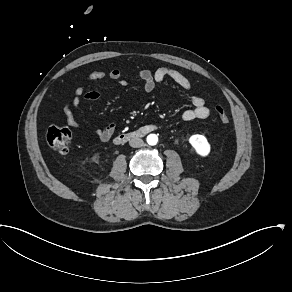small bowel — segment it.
I'll return each mask as SVG.
<instances>
[{
	"label": "small bowel",
	"instance_id": "small-bowel-1",
	"mask_svg": "<svg viewBox=\"0 0 292 292\" xmlns=\"http://www.w3.org/2000/svg\"><path fill=\"white\" fill-rule=\"evenodd\" d=\"M105 78L120 81L122 85L125 84V82L122 81V73L117 68L111 69L108 72L101 70L93 71L88 74L86 80L90 83ZM139 78L143 83V89L146 93H151L157 84L169 78L191 94L190 98L193 107L183 111L178 118L179 121L188 122L195 119H205L210 115V109L207 107L205 100L201 96L193 93L191 81L180 71L169 67H160L155 71L143 69L139 72ZM99 98L100 93L98 91H86L83 87H78L74 92V96H71L67 100L63 108V114L67 125L78 129L80 123L76 118L75 108L81 100L95 101ZM115 130L116 125L111 123L104 129L97 130L96 135L102 142H107L111 139Z\"/></svg>",
	"mask_w": 292,
	"mask_h": 292
}]
</instances>
